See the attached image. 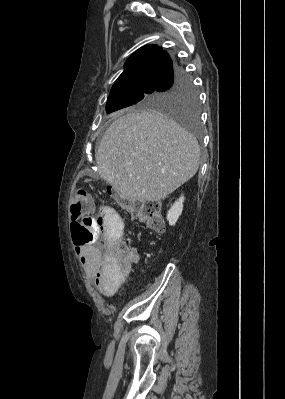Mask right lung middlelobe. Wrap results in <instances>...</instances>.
Returning <instances> with one entry per match:
<instances>
[{"mask_svg":"<svg viewBox=\"0 0 285 399\" xmlns=\"http://www.w3.org/2000/svg\"><path fill=\"white\" fill-rule=\"evenodd\" d=\"M129 106L173 116L192 129L199 120L197 92L186 74L158 88L109 95L106 111L111 113Z\"/></svg>","mask_w":285,"mask_h":399,"instance_id":"dd1d6c3e","label":"right lung middle lobe"}]
</instances>
